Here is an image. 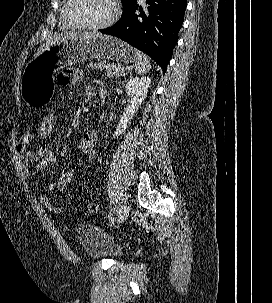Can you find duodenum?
I'll list each match as a JSON object with an SVG mask.
<instances>
[{"label":"duodenum","mask_w":272,"mask_h":303,"mask_svg":"<svg viewBox=\"0 0 272 303\" xmlns=\"http://www.w3.org/2000/svg\"><path fill=\"white\" fill-rule=\"evenodd\" d=\"M95 101L97 105H102L105 102V93L103 91H98L95 93Z\"/></svg>","instance_id":"1"}]
</instances>
